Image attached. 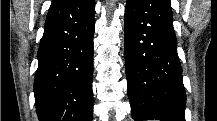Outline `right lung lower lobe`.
<instances>
[{
    "label": "right lung lower lobe",
    "instance_id": "1",
    "mask_svg": "<svg viewBox=\"0 0 217 121\" xmlns=\"http://www.w3.org/2000/svg\"><path fill=\"white\" fill-rule=\"evenodd\" d=\"M94 0H53L34 81L40 121H91Z\"/></svg>",
    "mask_w": 217,
    "mask_h": 121
}]
</instances>
